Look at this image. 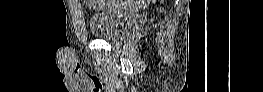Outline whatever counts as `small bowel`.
I'll use <instances>...</instances> for the list:
<instances>
[{"label": "small bowel", "instance_id": "1", "mask_svg": "<svg viewBox=\"0 0 263 92\" xmlns=\"http://www.w3.org/2000/svg\"><path fill=\"white\" fill-rule=\"evenodd\" d=\"M87 2H88V5H89L90 8L93 7V5H97V4L101 3L100 1H87ZM112 6L114 8H121V7L118 6V4H112Z\"/></svg>", "mask_w": 263, "mask_h": 92}]
</instances>
